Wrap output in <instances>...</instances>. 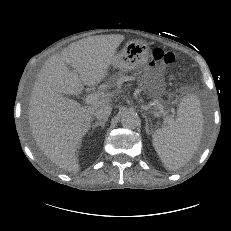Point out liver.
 <instances>
[{"label": "liver", "instance_id": "liver-1", "mask_svg": "<svg viewBox=\"0 0 231 231\" xmlns=\"http://www.w3.org/2000/svg\"><path fill=\"white\" fill-rule=\"evenodd\" d=\"M124 39L123 35L112 34L74 42L61 54L51 56L37 77L28 110L31 132L43 154L65 171H79L82 139L91 128L96 109L109 104L111 98L102 92L97 102L81 106L63 95H78L84 85L103 81Z\"/></svg>", "mask_w": 231, "mask_h": 231}]
</instances>
